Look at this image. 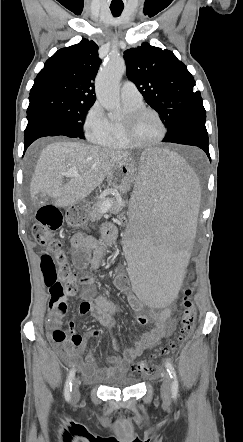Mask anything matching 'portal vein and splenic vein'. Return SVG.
I'll return each mask as SVG.
<instances>
[{"label":"portal vein and splenic vein","instance_id":"1","mask_svg":"<svg viewBox=\"0 0 243 442\" xmlns=\"http://www.w3.org/2000/svg\"><path fill=\"white\" fill-rule=\"evenodd\" d=\"M63 175L65 177H78V170L76 167H73L70 168L67 172L63 173ZM110 206L111 204L109 202H105L101 207V211L104 213L107 212Z\"/></svg>","mask_w":243,"mask_h":442}]
</instances>
